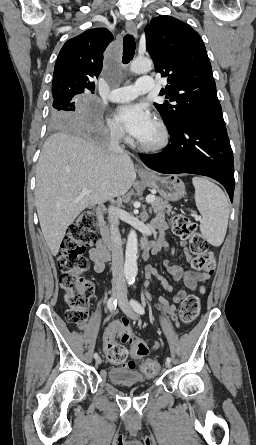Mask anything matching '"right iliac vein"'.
I'll list each match as a JSON object with an SVG mask.
<instances>
[{"instance_id": "63e3f726", "label": "right iliac vein", "mask_w": 256, "mask_h": 445, "mask_svg": "<svg viewBox=\"0 0 256 445\" xmlns=\"http://www.w3.org/2000/svg\"><path fill=\"white\" fill-rule=\"evenodd\" d=\"M113 296L115 297V298H118V300H119V298H120V296H121V293H119L118 291H115L114 293H113ZM101 362H102V359L100 358V357H98L97 359H96V364H101Z\"/></svg>"}]
</instances>
